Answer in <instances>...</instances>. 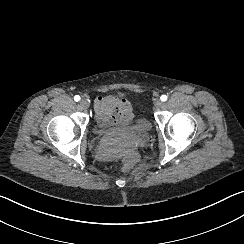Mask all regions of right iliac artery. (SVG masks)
Here are the masks:
<instances>
[{"label":"right iliac artery","instance_id":"obj_1","mask_svg":"<svg viewBox=\"0 0 244 244\" xmlns=\"http://www.w3.org/2000/svg\"><path fill=\"white\" fill-rule=\"evenodd\" d=\"M74 100H75L76 102H78V101L80 100V96H79V95H76V96L74 97Z\"/></svg>","mask_w":244,"mask_h":244}]
</instances>
